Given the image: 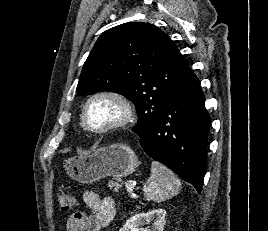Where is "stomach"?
Returning a JSON list of instances; mask_svg holds the SVG:
<instances>
[{
	"label": "stomach",
	"mask_w": 268,
	"mask_h": 231,
	"mask_svg": "<svg viewBox=\"0 0 268 231\" xmlns=\"http://www.w3.org/2000/svg\"><path fill=\"white\" fill-rule=\"evenodd\" d=\"M139 162L127 145L113 144L64 160L63 168L81 183H93L107 176L123 178L135 172Z\"/></svg>",
	"instance_id": "obj_1"
}]
</instances>
